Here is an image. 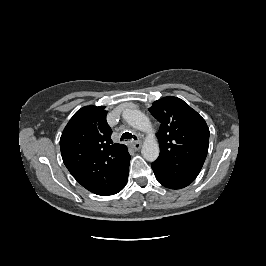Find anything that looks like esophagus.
<instances>
[{
  "label": "esophagus",
  "mask_w": 266,
  "mask_h": 266,
  "mask_svg": "<svg viewBox=\"0 0 266 266\" xmlns=\"http://www.w3.org/2000/svg\"><path fill=\"white\" fill-rule=\"evenodd\" d=\"M132 146H133L134 149L139 150L141 148V146H142V143L139 142V141L138 142H133Z\"/></svg>",
  "instance_id": "1"
}]
</instances>
